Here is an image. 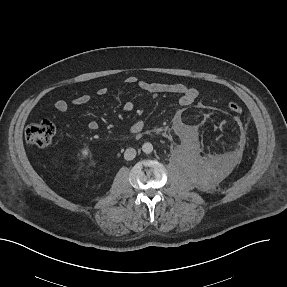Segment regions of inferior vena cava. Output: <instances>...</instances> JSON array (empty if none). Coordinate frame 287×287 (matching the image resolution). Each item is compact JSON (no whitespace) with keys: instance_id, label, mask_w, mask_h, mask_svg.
Returning <instances> with one entry per match:
<instances>
[{"instance_id":"602c4592","label":"inferior vena cava","mask_w":287,"mask_h":287,"mask_svg":"<svg viewBox=\"0 0 287 287\" xmlns=\"http://www.w3.org/2000/svg\"><path fill=\"white\" fill-rule=\"evenodd\" d=\"M136 150L134 148H128L125 150L124 159L127 161L133 160L136 156Z\"/></svg>"}]
</instances>
